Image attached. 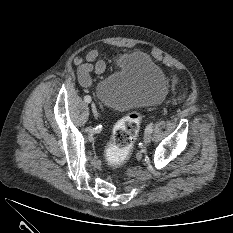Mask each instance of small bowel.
I'll use <instances>...</instances> for the list:
<instances>
[{"label": "small bowel", "mask_w": 233, "mask_h": 233, "mask_svg": "<svg viewBox=\"0 0 233 233\" xmlns=\"http://www.w3.org/2000/svg\"><path fill=\"white\" fill-rule=\"evenodd\" d=\"M99 50L89 51L85 59L76 57L74 64L77 67L78 80L82 86H89L92 82L91 74H103L106 70V64L103 60L98 59Z\"/></svg>", "instance_id": "1"}]
</instances>
